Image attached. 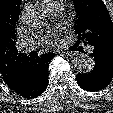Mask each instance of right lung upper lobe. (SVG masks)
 Instances as JSON below:
<instances>
[{"label": "right lung upper lobe", "instance_id": "1", "mask_svg": "<svg viewBox=\"0 0 113 113\" xmlns=\"http://www.w3.org/2000/svg\"><path fill=\"white\" fill-rule=\"evenodd\" d=\"M19 6L20 0H0V73L6 83L16 76L27 58L15 46Z\"/></svg>", "mask_w": 113, "mask_h": 113}]
</instances>
